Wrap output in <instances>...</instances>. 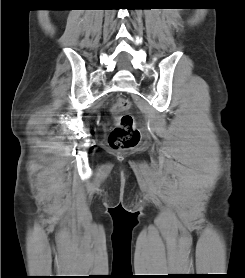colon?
<instances>
[{
  "label": "colon",
  "instance_id": "obj_1",
  "mask_svg": "<svg viewBox=\"0 0 245 278\" xmlns=\"http://www.w3.org/2000/svg\"><path fill=\"white\" fill-rule=\"evenodd\" d=\"M131 101L127 96L119 95L113 106L115 126L110 133L109 141L112 147L119 150L135 146L140 139V132L136 127L134 118L130 114H124L130 108Z\"/></svg>",
  "mask_w": 245,
  "mask_h": 278
}]
</instances>
